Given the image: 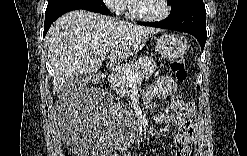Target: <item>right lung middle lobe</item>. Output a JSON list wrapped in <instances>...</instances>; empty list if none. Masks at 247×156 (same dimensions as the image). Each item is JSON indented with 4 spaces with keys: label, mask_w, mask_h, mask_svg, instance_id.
Instances as JSON below:
<instances>
[{
    "label": "right lung middle lobe",
    "mask_w": 247,
    "mask_h": 156,
    "mask_svg": "<svg viewBox=\"0 0 247 156\" xmlns=\"http://www.w3.org/2000/svg\"><path fill=\"white\" fill-rule=\"evenodd\" d=\"M62 2H103V0H49L47 7L54 6L56 4L62 3Z\"/></svg>",
    "instance_id": "obj_1"
}]
</instances>
